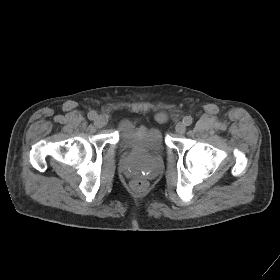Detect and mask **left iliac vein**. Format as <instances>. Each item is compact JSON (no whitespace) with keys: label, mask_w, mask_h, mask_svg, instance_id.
<instances>
[{"label":"left iliac vein","mask_w":280,"mask_h":280,"mask_svg":"<svg viewBox=\"0 0 280 280\" xmlns=\"http://www.w3.org/2000/svg\"><path fill=\"white\" fill-rule=\"evenodd\" d=\"M175 130L178 134H184L186 131V126L183 122H179L176 124Z\"/></svg>","instance_id":"obj_1"}]
</instances>
